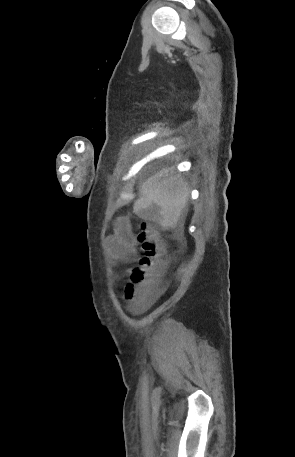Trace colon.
<instances>
[{"instance_id": "obj_1", "label": "colon", "mask_w": 295, "mask_h": 457, "mask_svg": "<svg viewBox=\"0 0 295 457\" xmlns=\"http://www.w3.org/2000/svg\"><path fill=\"white\" fill-rule=\"evenodd\" d=\"M137 239L142 254L137 266L129 271V282L124 290V299L139 307L164 268L165 241L154 225L147 221L139 224Z\"/></svg>"}]
</instances>
